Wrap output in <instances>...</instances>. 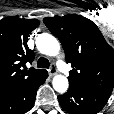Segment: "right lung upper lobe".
I'll return each mask as SVG.
<instances>
[{"label": "right lung upper lobe", "mask_w": 114, "mask_h": 114, "mask_svg": "<svg viewBox=\"0 0 114 114\" xmlns=\"http://www.w3.org/2000/svg\"><path fill=\"white\" fill-rule=\"evenodd\" d=\"M39 25L37 19L16 16L0 20V95L36 79L46 70L27 69L34 53L27 46L30 33Z\"/></svg>", "instance_id": "obj_1"}]
</instances>
